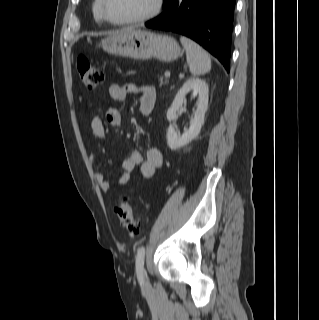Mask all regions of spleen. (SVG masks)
<instances>
[{"mask_svg": "<svg viewBox=\"0 0 319 320\" xmlns=\"http://www.w3.org/2000/svg\"><path fill=\"white\" fill-rule=\"evenodd\" d=\"M180 41L186 50V59L190 72L196 75H203L210 71L211 60L208 53L193 40L181 36Z\"/></svg>", "mask_w": 319, "mask_h": 320, "instance_id": "obj_1", "label": "spleen"}]
</instances>
